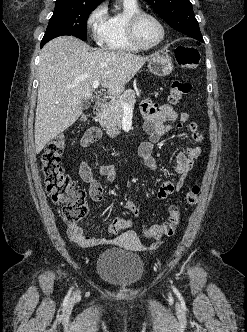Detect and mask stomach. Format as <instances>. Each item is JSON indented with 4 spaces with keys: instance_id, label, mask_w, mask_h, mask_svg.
<instances>
[{
    "instance_id": "0dacf381",
    "label": "stomach",
    "mask_w": 247,
    "mask_h": 332,
    "mask_svg": "<svg viewBox=\"0 0 247 332\" xmlns=\"http://www.w3.org/2000/svg\"><path fill=\"white\" fill-rule=\"evenodd\" d=\"M148 70L157 76H167L173 70V62L169 56L156 54L150 58Z\"/></svg>"
}]
</instances>
